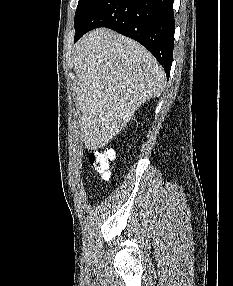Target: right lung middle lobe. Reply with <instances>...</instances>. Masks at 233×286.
I'll list each match as a JSON object with an SVG mask.
<instances>
[{
	"label": "right lung middle lobe",
	"instance_id": "right-lung-middle-lobe-1",
	"mask_svg": "<svg viewBox=\"0 0 233 286\" xmlns=\"http://www.w3.org/2000/svg\"><path fill=\"white\" fill-rule=\"evenodd\" d=\"M93 1L94 0H79L75 13L74 26L82 20Z\"/></svg>",
	"mask_w": 233,
	"mask_h": 286
}]
</instances>
